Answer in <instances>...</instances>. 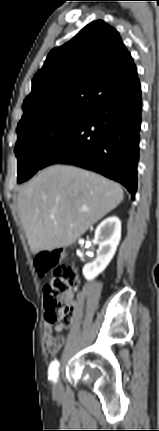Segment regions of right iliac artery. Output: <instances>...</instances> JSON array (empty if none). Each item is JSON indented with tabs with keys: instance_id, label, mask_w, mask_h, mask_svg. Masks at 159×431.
Returning <instances> with one entry per match:
<instances>
[{
	"instance_id": "1",
	"label": "right iliac artery",
	"mask_w": 159,
	"mask_h": 431,
	"mask_svg": "<svg viewBox=\"0 0 159 431\" xmlns=\"http://www.w3.org/2000/svg\"><path fill=\"white\" fill-rule=\"evenodd\" d=\"M58 368H59V362L58 361H53L50 364L49 367V378L53 381H56L57 376H58Z\"/></svg>"
}]
</instances>
